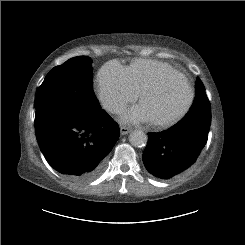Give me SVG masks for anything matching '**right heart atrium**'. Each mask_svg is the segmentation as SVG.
Returning <instances> with one entry per match:
<instances>
[{
  "mask_svg": "<svg viewBox=\"0 0 245 245\" xmlns=\"http://www.w3.org/2000/svg\"><path fill=\"white\" fill-rule=\"evenodd\" d=\"M95 89L103 106L113 114L122 113L139 95L131 84L127 68L117 61L108 62L99 70Z\"/></svg>",
  "mask_w": 245,
  "mask_h": 245,
  "instance_id": "d8ad5b80",
  "label": "right heart atrium"
}]
</instances>
